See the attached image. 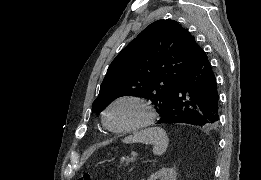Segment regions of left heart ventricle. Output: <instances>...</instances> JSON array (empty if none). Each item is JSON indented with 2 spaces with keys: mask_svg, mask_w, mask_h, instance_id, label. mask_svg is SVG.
Instances as JSON below:
<instances>
[{
  "mask_svg": "<svg viewBox=\"0 0 261 180\" xmlns=\"http://www.w3.org/2000/svg\"><path fill=\"white\" fill-rule=\"evenodd\" d=\"M141 112V108L135 103L118 104L110 112V123L115 128L130 126L140 118Z\"/></svg>",
  "mask_w": 261,
  "mask_h": 180,
  "instance_id": "1",
  "label": "left heart ventricle"
}]
</instances>
